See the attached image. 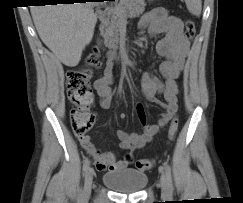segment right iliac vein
I'll return each mask as SVG.
<instances>
[{"mask_svg":"<svg viewBox=\"0 0 243 203\" xmlns=\"http://www.w3.org/2000/svg\"><path fill=\"white\" fill-rule=\"evenodd\" d=\"M92 183H93V171L89 169L85 175V184L83 189L84 196H89L91 194Z\"/></svg>","mask_w":243,"mask_h":203,"instance_id":"1","label":"right iliac vein"}]
</instances>
